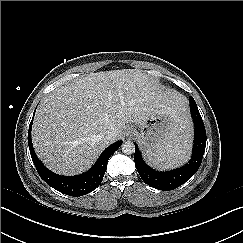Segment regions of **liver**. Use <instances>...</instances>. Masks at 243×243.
Returning a JSON list of instances; mask_svg holds the SVG:
<instances>
[{"mask_svg": "<svg viewBox=\"0 0 243 243\" xmlns=\"http://www.w3.org/2000/svg\"><path fill=\"white\" fill-rule=\"evenodd\" d=\"M155 112L168 113L174 131H189L186 98L138 69L91 73L51 92L39 105L32 142L41 161L61 175L88 170L124 134L125 124L143 125ZM115 133L108 141L104 134Z\"/></svg>", "mask_w": 243, "mask_h": 243, "instance_id": "6515ba94", "label": "liver"}]
</instances>
